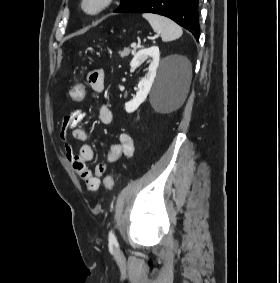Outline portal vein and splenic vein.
Returning a JSON list of instances; mask_svg holds the SVG:
<instances>
[{"instance_id":"obj_1","label":"portal vein and splenic vein","mask_w":280,"mask_h":283,"mask_svg":"<svg viewBox=\"0 0 280 283\" xmlns=\"http://www.w3.org/2000/svg\"><path fill=\"white\" fill-rule=\"evenodd\" d=\"M159 35L158 34H156L155 36H154V38H157ZM136 47V43H132L131 44V48H135Z\"/></svg>"}]
</instances>
